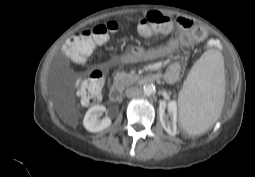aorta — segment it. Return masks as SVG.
Instances as JSON below:
<instances>
[{"instance_id":"762f6f07","label":"aorta","mask_w":255,"mask_h":177,"mask_svg":"<svg viewBox=\"0 0 255 177\" xmlns=\"http://www.w3.org/2000/svg\"><path fill=\"white\" fill-rule=\"evenodd\" d=\"M143 92L145 95L150 96L155 93V86L153 84H148L143 87Z\"/></svg>"}]
</instances>
